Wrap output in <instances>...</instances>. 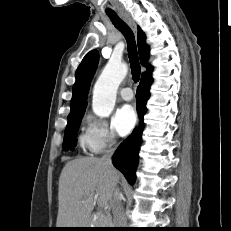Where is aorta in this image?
I'll use <instances>...</instances> for the list:
<instances>
[{"label":"aorta","instance_id":"1","mask_svg":"<svg viewBox=\"0 0 231 231\" xmlns=\"http://www.w3.org/2000/svg\"><path fill=\"white\" fill-rule=\"evenodd\" d=\"M128 73V66L116 60H110L99 76L93 89V112L103 118L114 109L116 93L120 83Z\"/></svg>","mask_w":231,"mask_h":231}]
</instances>
